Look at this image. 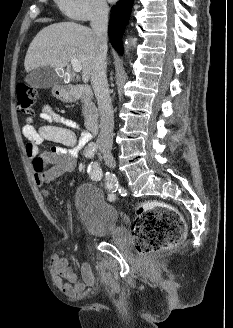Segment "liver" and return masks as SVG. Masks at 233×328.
Wrapping results in <instances>:
<instances>
[{"mask_svg": "<svg viewBox=\"0 0 233 328\" xmlns=\"http://www.w3.org/2000/svg\"><path fill=\"white\" fill-rule=\"evenodd\" d=\"M96 35L75 22H60L43 28L32 40L24 61L26 72L41 66L66 67L75 57L82 65V80L88 82L96 54Z\"/></svg>", "mask_w": 233, "mask_h": 328, "instance_id": "liver-1", "label": "liver"}]
</instances>
